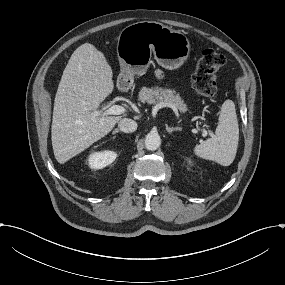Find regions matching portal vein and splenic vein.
<instances>
[{
	"label": "portal vein and splenic vein",
	"mask_w": 285,
	"mask_h": 285,
	"mask_svg": "<svg viewBox=\"0 0 285 285\" xmlns=\"http://www.w3.org/2000/svg\"><path fill=\"white\" fill-rule=\"evenodd\" d=\"M126 111V109L122 106H119V105H113L111 106L110 108H108L104 113L103 115L104 116H107V115H120V114H123L124 112ZM94 115H99V112L98 111H95L94 112ZM202 136L203 137H206L207 136V130L206 129H203V133H202ZM210 136L211 137H214V134L213 133H210Z\"/></svg>",
	"instance_id": "1"
}]
</instances>
